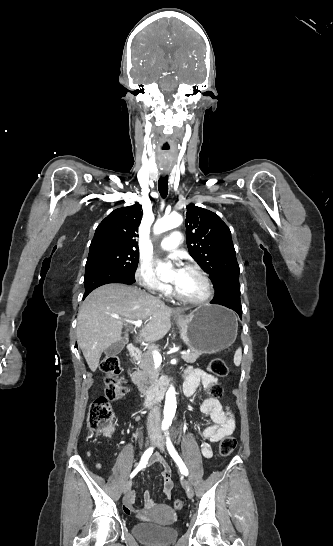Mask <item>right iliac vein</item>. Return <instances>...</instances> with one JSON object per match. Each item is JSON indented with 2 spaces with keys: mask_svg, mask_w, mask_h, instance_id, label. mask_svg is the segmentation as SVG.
<instances>
[{
  "mask_svg": "<svg viewBox=\"0 0 333 546\" xmlns=\"http://www.w3.org/2000/svg\"><path fill=\"white\" fill-rule=\"evenodd\" d=\"M154 440H155V435H151L149 438L150 443L152 444ZM131 486H132V481H128L124 486V493H127L131 489Z\"/></svg>",
  "mask_w": 333,
  "mask_h": 546,
  "instance_id": "1",
  "label": "right iliac vein"
}]
</instances>
